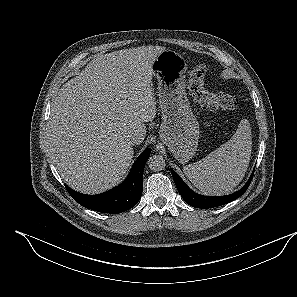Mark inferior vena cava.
I'll return each instance as SVG.
<instances>
[{
	"instance_id": "inferior-vena-cava-1",
	"label": "inferior vena cava",
	"mask_w": 297,
	"mask_h": 297,
	"mask_svg": "<svg viewBox=\"0 0 297 297\" xmlns=\"http://www.w3.org/2000/svg\"><path fill=\"white\" fill-rule=\"evenodd\" d=\"M128 142L131 144V145H135V144H139L142 142V137L137 135V134H130L128 136Z\"/></svg>"
}]
</instances>
